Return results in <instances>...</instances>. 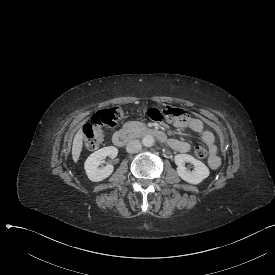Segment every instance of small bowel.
Wrapping results in <instances>:
<instances>
[{
    "label": "small bowel",
    "mask_w": 275,
    "mask_h": 275,
    "mask_svg": "<svg viewBox=\"0 0 275 275\" xmlns=\"http://www.w3.org/2000/svg\"><path fill=\"white\" fill-rule=\"evenodd\" d=\"M175 126L179 129L188 128L197 135L200 139L209 147L210 158L208 160V165L211 169H217L220 165V159L216 155L217 146L215 144V138L211 131L205 130L203 122L196 117H188L183 121L175 122ZM171 147L180 152L187 153L190 150V144L187 141L173 139L170 142Z\"/></svg>",
    "instance_id": "small-bowel-1"
}]
</instances>
